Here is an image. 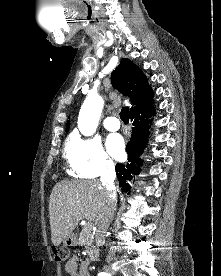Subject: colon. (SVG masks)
<instances>
[{"instance_id": "obj_1", "label": "colon", "mask_w": 221, "mask_h": 276, "mask_svg": "<svg viewBox=\"0 0 221 276\" xmlns=\"http://www.w3.org/2000/svg\"><path fill=\"white\" fill-rule=\"evenodd\" d=\"M56 261L65 262L69 257V253L66 249V245H55V249L53 250Z\"/></svg>"}]
</instances>
